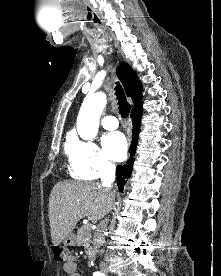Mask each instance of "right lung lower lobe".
<instances>
[{
  "label": "right lung lower lobe",
  "mask_w": 221,
  "mask_h": 276,
  "mask_svg": "<svg viewBox=\"0 0 221 276\" xmlns=\"http://www.w3.org/2000/svg\"><path fill=\"white\" fill-rule=\"evenodd\" d=\"M142 111H143V108L141 107V108L132 110L131 112V118H132V124H133V134H132L133 139L129 149L131 156L134 155L136 152ZM133 163H134V159L131 158L129 161H127L125 165L123 166L118 165L116 167V176H117L116 179H117V185L120 191L124 189L126 179H128L131 175V172L133 170Z\"/></svg>",
  "instance_id": "98d812e1"
}]
</instances>
